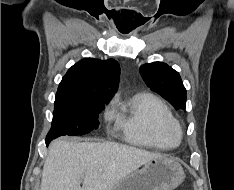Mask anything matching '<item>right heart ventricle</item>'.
Masks as SVG:
<instances>
[{"mask_svg":"<svg viewBox=\"0 0 234 190\" xmlns=\"http://www.w3.org/2000/svg\"><path fill=\"white\" fill-rule=\"evenodd\" d=\"M116 127L126 142L161 150L172 149L179 140V124L166 103L151 93H141L113 111Z\"/></svg>","mask_w":234,"mask_h":190,"instance_id":"obj_1","label":"right heart ventricle"}]
</instances>
